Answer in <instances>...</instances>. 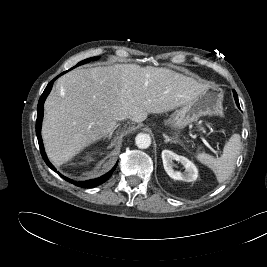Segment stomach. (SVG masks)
<instances>
[{
  "label": "stomach",
  "mask_w": 267,
  "mask_h": 267,
  "mask_svg": "<svg viewBox=\"0 0 267 267\" xmlns=\"http://www.w3.org/2000/svg\"><path fill=\"white\" fill-rule=\"evenodd\" d=\"M215 115L223 117V91L218 88H208L196 99L184 104L167 120L168 126L178 138V134L200 116Z\"/></svg>",
  "instance_id": "1"
}]
</instances>
